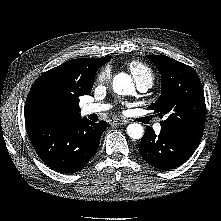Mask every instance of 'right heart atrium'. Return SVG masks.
Wrapping results in <instances>:
<instances>
[{"label":"right heart atrium","mask_w":221,"mask_h":221,"mask_svg":"<svg viewBox=\"0 0 221 221\" xmlns=\"http://www.w3.org/2000/svg\"><path fill=\"white\" fill-rule=\"evenodd\" d=\"M111 78V71L109 67L102 68L96 76V84L99 86L109 83Z\"/></svg>","instance_id":"d8ad5b80"}]
</instances>
